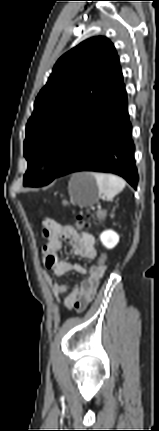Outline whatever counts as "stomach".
Returning a JSON list of instances; mask_svg holds the SVG:
<instances>
[{"label": "stomach", "instance_id": "stomach-1", "mask_svg": "<svg viewBox=\"0 0 159 431\" xmlns=\"http://www.w3.org/2000/svg\"><path fill=\"white\" fill-rule=\"evenodd\" d=\"M71 199L81 207L98 202L100 193L93 175L88 172L74 174L69 186Z\"/></svg>", "mask_w": 159, "mask_h": 431}]
</instances>
